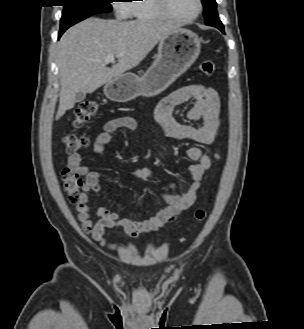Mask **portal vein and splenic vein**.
I'll use <instances>...</instances> for the list:
<instances>
[{"instance_id":"18ae733b","label":"portal vein and splenic vein","mask_w":304,"mask_h":329,"mask_svg":"<svg viewBox=\"0 0 304 329\" xmlns=\"http://www.w3.org/2000/svg\"><path fill=\"white\" fill-rule=\"evenodd\" d=\"M115 57H118V56H115L114 54H109L105 57L104 62L105 63H114Z\"/></svg>"}]
</instances>
